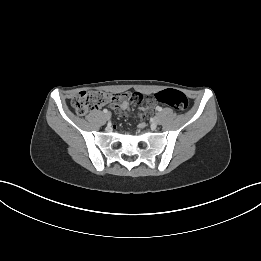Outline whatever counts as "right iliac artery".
Instances as JSON below:
<instances>
[{
  "label": "right iliac artery",
  "mask_w": 261,
  "mask_h": 261,
  "mask_svg": "<svg viewBox=\"0 0 261 261\" xmlns=\"http://www.w3.org/2000/svg\"><path fill=\"white\" fill-rule=\"evenodd\" d=\"M103 112H104V113H107V112H108V110H107V109H104V110H103Z\"/></svg>",
  "instance_id": "right-iliac-artery-1"
}]
</instances>
